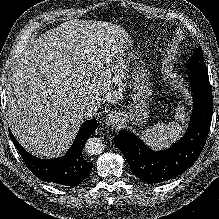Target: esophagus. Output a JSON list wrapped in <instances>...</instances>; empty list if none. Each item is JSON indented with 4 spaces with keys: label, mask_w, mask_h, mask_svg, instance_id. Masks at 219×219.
I'll return each instance as SVG.
<instances>
[{
    "label": "esophagus",
    "mask_w": 219,
    "mask_h": 219,
    "mask_svg": "<svg viewBox=\"0 0 219 219\" xmlns=\"http://www.w3.org/2000/svg\"><path fill=\"white\" fill-rule=\"evenodd\" d=\"M105 120H106V124L115 125L118 122V116L116 113L111 112L106 116Z\"/></svg>",
    "instance_id": "1"
}]
</instances>
